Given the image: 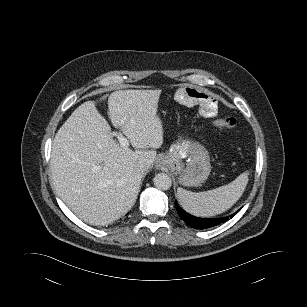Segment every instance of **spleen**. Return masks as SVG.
<instances>
[{
	"label": "spleen",
	"mask_w": 307,
	"mask_h": 307,
	"mask_svg": "<svg viewBox=\"0 0 307 307\" xmlns=\"http://www.w3.org/2000/svg\"><path fill=\"white\" fill-rule=\"evenodd\" d=\"M248 172H243L231 183L204 192H191L177 189L181 206L190 214L209 217L221 214L231 208L242 196L248 183Z\"/></svg>",
	"instance_id": "spleen-1"
}]
</instances>
